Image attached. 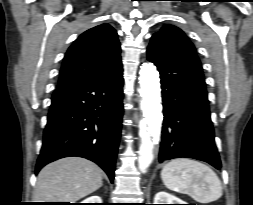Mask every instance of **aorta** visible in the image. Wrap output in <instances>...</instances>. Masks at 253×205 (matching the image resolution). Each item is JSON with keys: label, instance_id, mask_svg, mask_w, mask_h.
Here are the masks:
<instances>
[{"label": "aorta", "instance_id": "aorta-1", "mask_svg": "<svg viewBox=\"0 0 253 205\" xmlns=\"http://www.w3.org/2000/svg\"><path fill=\"white\" fill-rule=\"evenodd\" d=\"M139 75L143 119L140 122L138 167L145 173L153 161V145L159 139L163 115L160 78L156 67L152 63H144Z\"/></svg>", "mask_w": 253, "mask_h": 205}]
</instances>
